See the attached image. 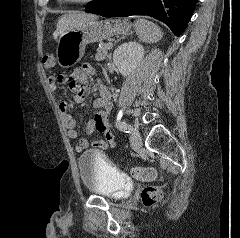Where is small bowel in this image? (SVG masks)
Here are the masks:
<instances>
[{
	"label": "small bowel",
	"mask_w": 240,
	"mask_h": 238,
	"mask_svg": "<svg viewBox=\"0 0 240 238\" xmlns=\"http://www.w3.org/2000/svg\"><path fill=\"white\" fill-rule=\"evenodd\" d=\"M96 74L95 69L90 64H84L82 67L77 68L74 72L66 76H50L47 79L48 89L52 94H56L60 84L67 83L77 102L85 99L88 92L87 77ZM99 97L94 101L93 107L96 110L95 114L86 124V132L92 134L95 131L102 134V138L92 144L96 148H107L108 146H115V140L109 131V116L112 110V103L110 100V92L106 86L99 82L98 85ZM59 110L62 114V121L67 129L69 138L76 139L78 132L76 129V120L72 116L75 110L73 104L68 102H60ZM90 145L89 141L82 138L76 145L78 152L83 151ZM121 146V145H120Z\"/></svg>",
	"instance_id": "small-bowel-1"
}]
</instances>
